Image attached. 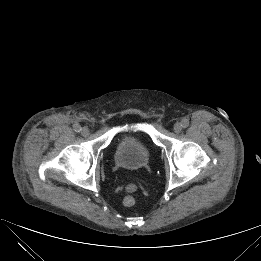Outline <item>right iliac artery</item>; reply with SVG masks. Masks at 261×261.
Returning a JSON list of instances; mask_svg holds the SVG:
<instances>
[{"instance_id":"1","label":"right iliac artery","mask_w":261,"mask_h":261,"mask_svg":"<svg viewBox=\"0 0 261 261\" xmlns=\"http://www.w3.org/2000/svg\"><path fill=\"white\" fill-rule=\"evenodd\" d=\"M74 130H75L76 132H80V131H81V126L78 125V124L74 125Z\"/></svg>"}]
</instances>
